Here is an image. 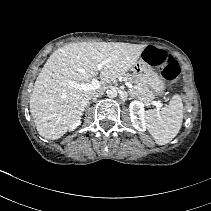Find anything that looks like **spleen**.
Segmentation results:
<instances>
[{"mask_svg":"<svg viewBox=\"0 0 211 211\" xmlns=\"http://www.w3.org/2000/svg\"><path fill=\"white\" fill-rule=\"evenodd\" d=\"M148 131L158 145L169 143L179 133L183 121V103L176 94L161 111L148 110L145 115Z\"/></svg>","mask_w":211,"mask_h":211,"instance_id":"obj_1","label":"spleen"}]
</instances>
